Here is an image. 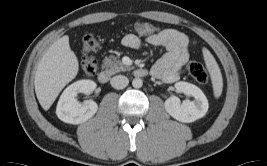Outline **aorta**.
Returning a JSON list of instances; mask_svg holds the SVG:
<instances>
[{
    "mask_svg": "<svg viewBox=\"0 0 267 166\" xmlns=\"http://www.w3.org/2000/svg\"><path fill=\"white\" fill-rule=\"evenodd\" d=\"M142 85H143V81H142L140 78H135V79H133V81H132V86H133L134 88H141Z\"/></svg>",
    "mask_w": 267,
    "mask_h": 166,
    "instance_id": "1",
    "label": "aorta"
}]
</instances>
